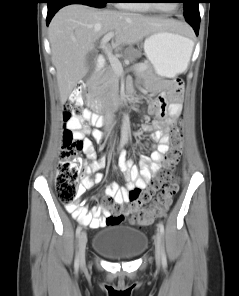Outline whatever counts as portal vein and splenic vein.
Returning <instances> with one entry per match:
<instances>
[{
  "label": "portal vein and splenic vein",
  "mask_w": 239,
  "mask_h": 296,
  "mask_svg": "<svg viewBox=\"0 0 239 296\" xmlns=\"http://www.w3.org/2000/svg\"><path fill=\"white\" fill-rule=\"evenodd\" d=\"M115 33L113 31L108 32L101 40V47L103 48L113 70L117 75H122L124 73L123 67L119 59L113 55L112 51L108 48L107 43L111 38H113ZM134 70L143 71L145 70L144 65H138L133 68Z\"/></svg>",
  "instance_id": "obj_1"
}]
</instances>
